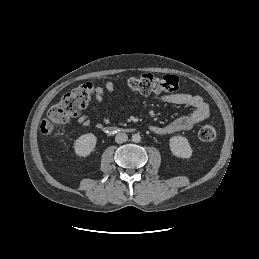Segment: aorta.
I'll use <instances>...</instances> for the list:
<instances>
[{"instance_id":"1","label":"aorta","mask_w":259,"mask_h":259,"mask_svg":"<svg viewBox=\"0 0 259 259\" xmlns=\"http://www.w3.org/2000/svg\"><path fill=\"white\" fill-rule=\"evenodd\" d=\"M132 141L135 143H139L141 141V135L139 133H135L132 135Z\"/></svg>"}]
</instances>
